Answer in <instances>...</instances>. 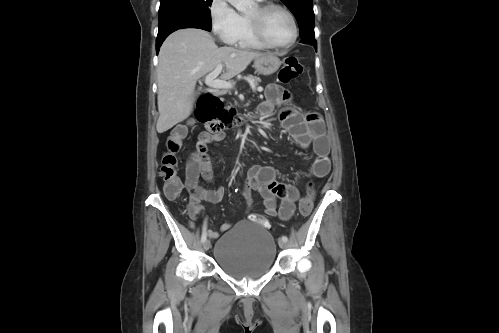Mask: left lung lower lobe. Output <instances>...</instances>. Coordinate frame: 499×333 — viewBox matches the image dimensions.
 Returning a JSON list of instances; mask_svg holds the SVG:
<instances>
[{"label":"left lung lower lobe","instance_id":"left-lung-lower-lobe-1","mask_svg":"<svg viewBox=\"0 0 499 333\" xmlns=\"http://www.w3.org/2000/svg\"><path fill=\"white\" fill-rule=\"evenodd\" d=\"M301 43H306L312 45L315 49H317V43L314 38H302Z\"/></svg>","mask_w":499,"mask_h":333}]
</instances>
